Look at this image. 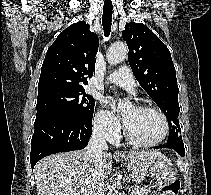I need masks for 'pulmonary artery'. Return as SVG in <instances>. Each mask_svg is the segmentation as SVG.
I'll return each mask as SVG.
<instances>
[{
	"label": "pulmonary artery",
	"instance_id": "obj_1",
	"mask_svg": "<svg viewBox=\"0 0 211 195\" xmlns=\"http://www.w3.org/2000/svg\"><path fill=\"white\" fill-rule=\"evenodd\" d=\"M107 81L130 91H133L136 86L132 72L128 67H120L107 77Z\"/></svg>",
	"mask_w": 211,
	"mask_h": 195
}]
</instances>
